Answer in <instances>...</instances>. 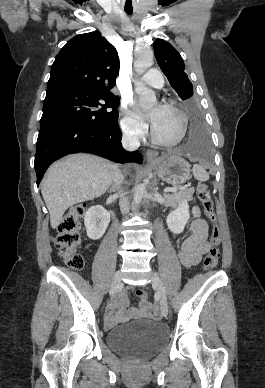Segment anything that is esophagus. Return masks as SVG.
<instances>
[{
  "instance_id": "34e87169",
  "label": "esophagus",
  "mask_w": 265,
  "mask_h": 388,
  "mask_svg": "<svg viewBox=\"0 0 265 388\" xmlns=\"http://www.w3.org/2000/svg\"><path fill=\"white\" fill-rule=\"evenodd\" d=\"M158 154L159 153L155 150H147L146 151L147 161H153L158 156Z\"/></svg>"
}]
</instances>
